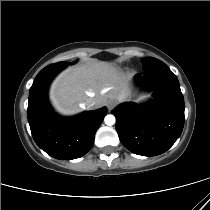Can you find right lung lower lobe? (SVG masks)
I'll list each match as a JSON object with an SVG mask.
<instances>
[{"mask_svg": "<svg viewBox=\"0 0 210 210\" xmlns=\"http://www.w3.org/2000/svg\"><path fill=\"white\" fill-rule=\"evenodd\" d=\"M65 67L64 64H51L38 73L29 91L27 115L36 144L56 159L70 160L90 150L107 108L72 118L54 113L47 101V90L54 76Z\"/></svg>", "mask_w": 210, "mask_h": 210, "instance_id": "1", "label": "right lung lower lobe"}]
</instances>
